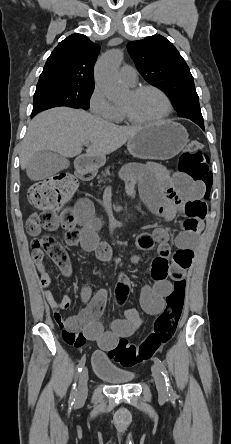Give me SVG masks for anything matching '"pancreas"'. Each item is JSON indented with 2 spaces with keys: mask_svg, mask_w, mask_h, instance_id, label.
Returning a JSON list of instances; mask_svg holds the SVG:
<instances>
[{
  "mask_svg": "<svg viewBox=\"0 0 231 444\" xmlns=\"http://www.w3.org/2000/svg\"><path fill=\"white\" fill-rule=\"evenodd\" d=\"M113 169L114 167H107L105 170L101 173V181L105 180L108 176L111 175L110 169Z\"/></svg>",
  "mask_w": 231,
  "mask_h": 444,
  "instance_id": "pancreas-1",
  "label": "pancreas"
}]
</instances>
